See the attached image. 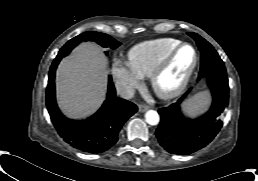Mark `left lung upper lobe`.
Masks as SVG:
<instances>
[{
	"label": "left lung upper lobe",
	"instance_id": "obj_1",
	"mask_svg": "<svg viewBox=\"0 0 258 181\" xmlns=\"http://www.w3.org/2000/svg\"><path fill=\"white\" fill-rule=\"evenodd\" d=\"M187 34L196 41L202 54L199 78L210 73L226 74L224 63L213 46L196 33L189 32Z\"/></svg>",
	"mask_w": 258,
	"mask_h": 181
}]
</instances>
